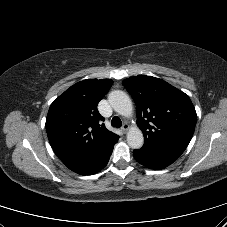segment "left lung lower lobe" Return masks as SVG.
I'll return each instance as SVG.
<instances>
[{"mask_svg": "<svg viewBox=\"0 0 227 227\" xmlns=\"http://www.w3.org/2000/svg\"><path fill=\"white\" fill-rule=\"evenodd\" d=\"M181 154L161 147H146L134 150L133 156L137 162L149 169H163L180 157Z\"/></svg>", "mask_w": 227, "mask_h": 227, "instance_id": "1", "label": "left lung lower lobe"}]
</instances>
